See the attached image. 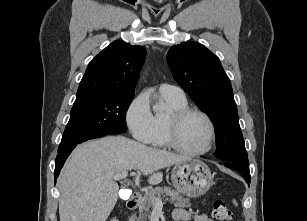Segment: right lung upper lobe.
I'll list each match as a JSON object with an SVG mask.
<instances>
[{
  "label": "right lung upper lobe",
  "mask_w": 307,
  "mask_h": 221,
  "mask_svg": "<svg viewBox=\"0 0 307 221\" xmlns=\"http://www.w3.org/2000/svg\"><path fill=\"white\" fill-rule=\"evenodd\" d=\"M146 50L116 40L88 64L75 102L105 94L134 93Z\"/></svg>",
  "instance_id": "cb5924a9"
}]
</instances>
